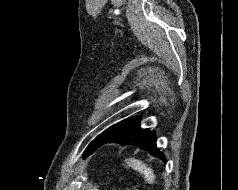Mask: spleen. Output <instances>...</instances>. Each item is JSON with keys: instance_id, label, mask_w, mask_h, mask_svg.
Wrapping results in <instances>:
<instances>
[{"instance_id": "obj_1", "label": "spleen", "mask_w": 238, "mask_h": 190, "mask_svg": "<svg viewBox=\"0 0 238 190\" xmlns=\"http://www.w3.org/2000/svg\"><path fill=\"white\" fill-rule=\"evenodd\" d=\"M128 167L134 169L135 171H138L139 173L144 175V179L148 184L155 183V175L153 170L142 163L141 161L137 159H126L125 160Z\"/></svg>"}]
</instances>
